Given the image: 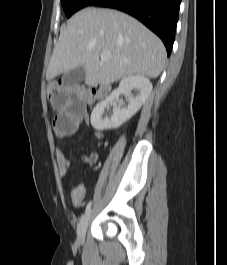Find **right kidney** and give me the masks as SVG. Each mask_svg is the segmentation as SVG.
Listing matches in <instances>:
<instances>
[{
    "label": "right kidney",
    "mask_w": 227,
    "mask_h": 265,
    "mask_svg": "<svg viewBox=\"0 0 227 265\" xmlns=\"http://www.w3.org/2000/svg\"><path fill=\"white\" fill-rule=\"evenodd\" d=\"M136 89L138 94L134 97L131 91ZM152 91V84L145 76L130 75L123 78L119 87L112 91V93L102 102L98 103L91 114V124L94 129L103 131L115 129L120 127L124 122L129 120L141 108ZM120 94L127 96L128 105L122 108L120 103L113 109L111 117L103 118L105 108L117 99Z\"/></svg>",
    "instance_id": "right-kidney-1"
}]
</instances>
